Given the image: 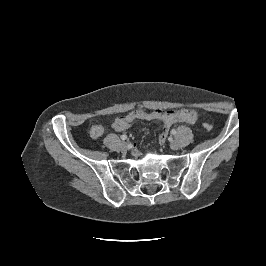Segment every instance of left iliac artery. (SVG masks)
<instances>
[{
    "instance_id": "left-iliac-artery-1",
    "label": "left iliac artery",
    "mask_w": 266,
    "mask_h": 266,
    "mask_svg": "<svg viewBox=\"0 0 266 266\" xmlns=\"http://www.w3.org/2000/svg\"><path fill=\"white\" fill-rule=\"evenodd\" d=\"M171 134L175 135L176 134V130L175 129H172L171 130Z\"/></svg>"
}]
</instances>
